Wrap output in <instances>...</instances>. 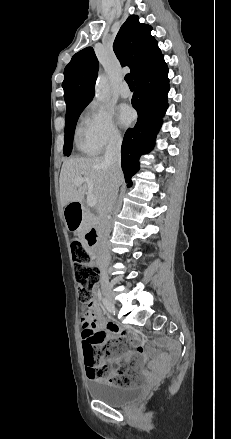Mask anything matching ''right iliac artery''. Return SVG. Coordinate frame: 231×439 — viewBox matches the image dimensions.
I'll return each mask as SVG.
<instances>
[{
	"instance_id": "right-iliac-artery-1",
	"label": "right iliac artery",
	"mask_w": 231,
	"mask_h": 439,
	"mask_svg": "<svg viewBox=\"0 0 231 439\" xmlns=\"http://www.w3.org/2000/svg\"><path fill=\"white\" fill-rule=\"evenodd\" d=\"M103 304L109 312L114 313L111 303L106 298L103 299Z\"/></svg>"
}]
</instances>
